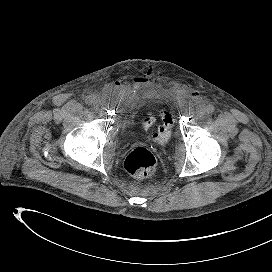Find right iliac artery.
<instances>
[{
    "label": "right iliac artery",
    "mask_w": 272,
    "mask_h": 272,
    "mask_svg": "<svg viewBox=\"0 0 272 272\" xmlns=\"http://www.w3.org/2000/svg\"><path fill=\"white\" fill-rule=\"evenodd\" d=\"M86 104L91 105L92 104V97L91 96H87L85 99Z\"/></svg>",
    "instance_id": "82829eb1"
}]
</instances>
